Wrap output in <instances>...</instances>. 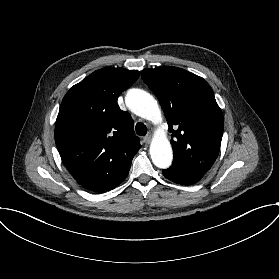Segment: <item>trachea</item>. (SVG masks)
<instances>
[{
	"mask_svg": "<svg viewBox=\"0 0 279 279\" xmlns=\"http://www.w3.org/2000/svg\"><path fill=\"white\" fill-rule=\"evenodd\" d=\"M136 132L139 136H144L147 133V128L143 123L136 124Z\"/></svg>",
	"mask_w": 279,
	"mask_h": 279,
	"instance_id": "1",
	"label": "trachea"
}]
</instances>
